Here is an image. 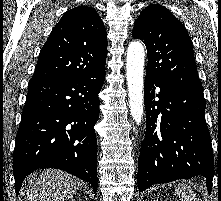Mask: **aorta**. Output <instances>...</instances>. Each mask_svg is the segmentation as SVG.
<instances>
[{"mask_svg": "<svg viewBox=\"0 0 221 201\" xmlns=\"http://www.w3.org/2000/svg\"><path fill=\"white\" fill-rule=\"evenodd\" d=\"M145 52L138 41L131 42L127 49V85L132 119L140 125L143 118V69Z\"/></svg>", "mask_w": 221, "mask_h": 201, "instance_id": "762f6f07", "label": "aorta"}]
</instances>
